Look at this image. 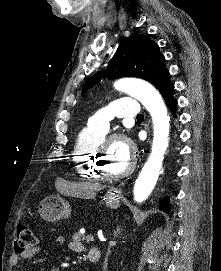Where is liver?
Wrapping results in <instances>:
<instances>
[{
  "label": "liver",
  "mask_w": 221,
  "mask_h": 271,
  "mask_svg": "<svg viewBox=\"0 0 221 271\" xmlns=\"http://www.w3.org/2000/svg\"><path fill=\"white\" fill-rule=\"evenodd\" d=\"M68 187L69 195H75V197H86V195H91L92 191L102 189V185H98V183H89V181H85V183H71Z\"/></svg>",
  "instance_id": "1"
}]
</instances>
